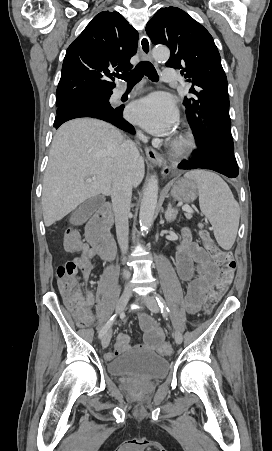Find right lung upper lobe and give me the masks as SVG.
Returning <instances> with one entry per match:
<instances>
[{
	"label": "right lung upper lobe",
	"mask_w": 272,
	"mask_h": 451,
	"mask_svg": "<svg viewBox=\"0 0 272 451\" xmlns=\"http://www.w3.org/2000/svg\"><path fill=\"white\" fill-rule=\"evenodd\" d=\"M138 32L118 12H101L66 51L56 99L112 93L111 71H128Z\"/></svg>",
	"instance_id": "right-lung-upper-lobe-1"
}]
</instances>
